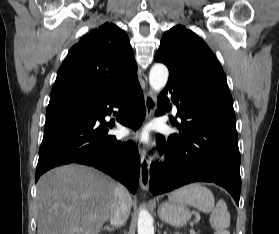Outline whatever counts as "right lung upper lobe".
Masks as SVG:
<instances>
[{
    "label": "right lung upper lobe",
    "mask_w": 279,
    "mask_h": 234,
    "mask_svg": "<svg viewBox=\"0 0 279 234\" xmlns=\"http://www.w3.org/2000/svg\"><path fill=\"white\" fill-rule=\"evenodd\" d=\"M137 80V64L127 34L105 23L81 37L60 66L48 108L90 107Z\"/></svg>",
    "instance_id": "cb5924a9"
}]
</instances>
